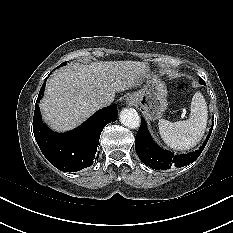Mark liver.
Here are the masks:
<instances>
[{"instance_id": "6515ba94", "label": "liver", "mask_w": 233, "mask_h": 233, "mask_svg": "<svg viewBox=\"0 0 233 233\" xmlns=\"http://www.w3.org/2000/svg\"><path fill=\"white\" fill-rule=\"evenodd\" d=\"M148 77V66L139 61L72 63L47 81L40 103L44 121L55 131L71 130L101 108L100 98L113 101L116 92L140 87Z\"/></svg>"}]
</instances>
